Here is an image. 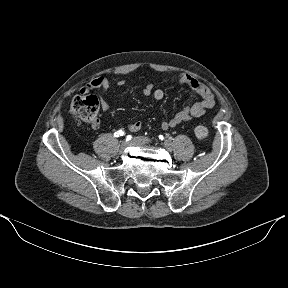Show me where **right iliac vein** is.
Returning a JSON list of instances; mask_svg holds the SVG:
<instances>
[{"label":"right iliac vein","instance_id":"63e3f726","mask_svg":"<svg viewBox=\"0 0 288 288\" xmlns=\"http://www.w3.org/2000/svg\"><path fill=\"white\" fill-rule=\"evenodd\" d=\"M129 145H130L129 142H122L121 145H120V147H119V151H120V152L124 151V149H125L127 146H129Z\"/></svg>","mask_w":288,"mask_h":288}]
</instances>
